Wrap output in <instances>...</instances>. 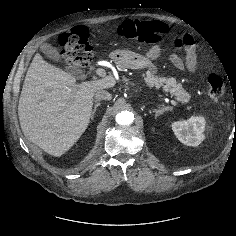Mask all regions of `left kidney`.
<instances>
[{
    "label": "left kidney",
    "instance_id": "left-kidney-1",
    "mask_svg": "<svg viewBox=\"0 0 236 236\" xmlns=\"http://www.w3.org/2000/svg\"><path fill=\"white\" fill-rule=\"evenodd\" d=\"M205 118L192 116L188 120L172 123V130L178 140L187 146H198L204 140Z\"/></svg>",
    "mask_w": 236,
    "mask_h": 236
}]
</instances>
